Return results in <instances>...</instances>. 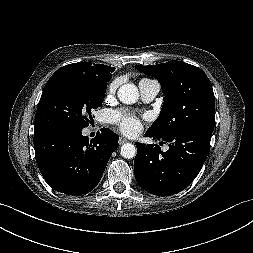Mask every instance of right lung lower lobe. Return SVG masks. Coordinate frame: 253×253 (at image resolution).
<instances>
[{
	"instance_id": "1",
	"label": "right lung lower lobe",
	"mask_w": 253,
	"mask_h": 253,
	"mask_svg": "<svg viewBox=\"0 0 253 253\" xmlns=\"http://www.w3.org/2000/svg\"><path fill=\"white\" fill-rule=\"evenodd\" d=\"M119 137L102 128L89 140L81 130L53 126L34 131V149L39 169L56 191L81 195L100 181Z\"/></svg>"
}]
</instances>
